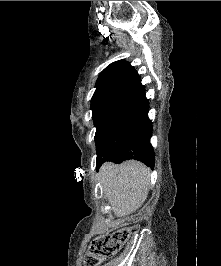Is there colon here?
I'll return each instance as SVG.
<instances>
[{
    "mask_svg": "<svg viewBox=\"0 0 221 266\" xmlns=\"http://www.w3.org/2000/svg\"><path fill=\"white\" fill-rule=\"evenodd\" d=\"M137 229L136 225L125 226L94 238L85 256V265L98 266L103 260L115 254Z\"/></svg>",
    "mask_w": 221,
    "mask_h": 266,
    "instance_id": "obj_1",
    "label": "colon"
}]
</instances>
